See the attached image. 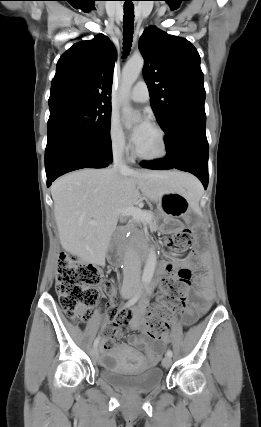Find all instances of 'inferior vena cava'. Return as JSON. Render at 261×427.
Instances as JSON below:
<instances>
[{"label": "inferior vena cava", "mask_w": 261, "mask_h": 427, "mask_svg": "<svg viewBox=\"0 0 261 427\" xmlns=\"http://www.w3.org/2000/svg\"><path fill=\"white\" fill-rule=\"evenodd\" d=\"M113 169L119 172H128L129 167L123 162V144H118L113 148ZM123 284L137 286L140 284L141 263L137 252L133 247L126 248L124 254Z\"/></svg>", "instance_id": "inferior-vena-cava-1"}]
</instances>
